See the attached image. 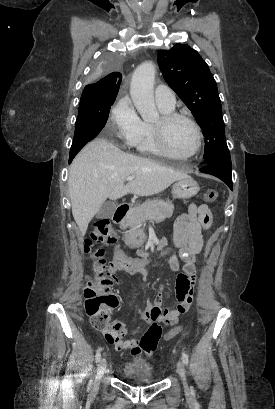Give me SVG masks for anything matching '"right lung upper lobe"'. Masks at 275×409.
Here are the masks:
<instances>
[{
    "mask_svg": "<svg viewBox=\"0 0 275 409\" xmlns=\"http://www.w3.org/2000/svg\"><path fill=\"white\" fill-rule=\"evenodd\" d=\"M122 80L120 73H111L96 82L95 85H87L82 93L85 99H115Z\"/></svg>",
    "mask_w": 275,
    "mask_h": 409,
    "instance_id": "obj_1",
    "label": "right lung upper lobe"
}]
</instances>
